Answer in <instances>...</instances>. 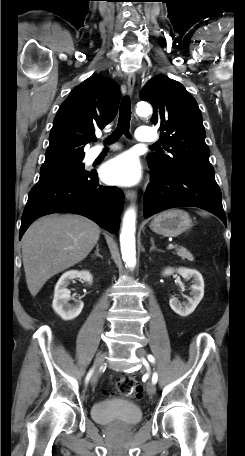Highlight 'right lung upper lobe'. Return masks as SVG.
Here are the masks:
<instances>
[{"label":"right lung upper lobe","instance_id":"cb5924a9","mask_svg":"<svg viewBox=\"0 0 245 456\" xmlns=\"http://www.w3.org/2000/svg\"><path fill=\"white\" fill-rule=\"evenodd\" d=\"M119 100L116 83L100 75H92L76 86L54 118L41 168L83 159L84 145L96 128L102 129L113 120Z\"/></svg>","mask_w":245,"mask_h":456}]
</instances>
